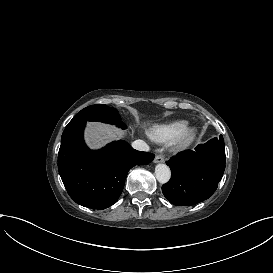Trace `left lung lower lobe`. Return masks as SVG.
Masks as SVG:
<instances>
[{
	"label": "left lung lower lobe",
	"instance_id": "0a47b994",
	"mask_svg": "<svg viewBox=\"0 0 273 273\" xmlns=\"http://www.w3.org/2000/svg\"><path fill=\"white\" fill-rule=\"evenodd\" d=\"M171 180L162 186L166 199L176 206H190L213 195L225 169L223 136L213 138L166 162Z\"/></svg>",
	"mask_w": 273,
	"mask_h": 273
}]
</instances>
